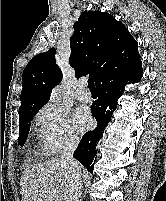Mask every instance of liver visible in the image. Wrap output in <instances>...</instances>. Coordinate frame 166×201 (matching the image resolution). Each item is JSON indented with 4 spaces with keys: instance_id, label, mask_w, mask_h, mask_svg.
Masks as SVG:
<instances>
[{
    "instance_id": "obj_1",
    "label": "liver",
    "mask_w": 166,
    "mask_h": 201,
    "mask_svg": "<svg viewBox=\"0 0 166 201\" xmlns=\"http://www.w3.org/2000/svg\"><path fill=\"white\" fill-rule=\"evenodd\" d=\"M72 185V171L67 162L52 159L33 164L21 176L22 201H68Z\"/></svg>"
}]
</instances>
